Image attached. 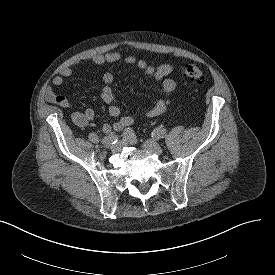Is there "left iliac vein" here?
Returning a JSON list of instances; mask_svg holds the SVG:
<instances>
[{
	"label": "left iliac vein",
	"instance_id": "4c4485c4",
	"mask_svg": "<svg viewBox=\"0 0 275 275\" xmlns=\"http://www.w3.org/2000/svg\"><path fill=\"white\" fill-rule=\"evenodd\" d=\"M143 148L149 152L155 153L157 155H162V147L154 140L148 139L143 143Z\"/></svg>",
	"mask_w": 275,
	"mask_h": 275
}]
</instances>
